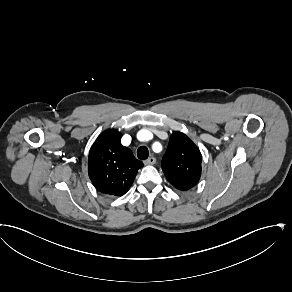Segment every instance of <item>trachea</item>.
Segmentation results:
<instances>
[{
    "instance_id": "3493384b",
    "label": "trachea",
    "mask_w": 292,
    "mask_h": 292,
    "mask_svg": "<svg viewBox=\"0 0 292 292\" xmlns=\"http://www.w3.org/2000/svg\"><path fill=\"white\" fill-rule=\"evenodd\" d=\"M149 156V151L146 146H140L137 150V157L141 160L147 159Z\"/></svg>"
}]
</instances>
